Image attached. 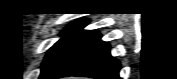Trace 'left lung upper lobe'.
Wrapping results in <instances>:
<instances>
[{
	"mask_svg": "<svg viewBox=\"0 0 177 79\" xmlns=\"http://www.w3.org/2000/svg\"><path fill=\"white\" fill-rule=\"evenodd\" d=\"M86 24V20L77 21L63 30L64 36L51 47L44 58L39 79H49L74 45L91 32L82 29Z\"/></svg>",
	"mask_w": 177,
	"mask_h": 79,
	"instance_id": "5c2ea615",
	"label": "left lung upper lobe"
}]
</instances>
